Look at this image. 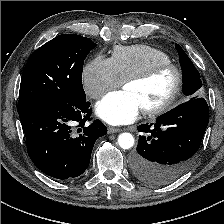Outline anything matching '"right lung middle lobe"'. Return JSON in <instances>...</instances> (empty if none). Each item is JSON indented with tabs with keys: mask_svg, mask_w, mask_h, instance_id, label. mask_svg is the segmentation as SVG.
Segmentation results:
<instances>
[{
	"mask_svg": "<svg viewBox=\"0 0 224 224\" xmlns=\"http://www.w3.org/2000/svg\"><path fill=\"white\" fill-rule=\"evenodd\" d=\"M95 46L89 38L62 34L38 48L23 70L18 113L48 101L73 104L86 100L83 63Z\"/></svg>",
	"mask_w": 224,
	"mask_h": 224,
	"instance_id": "right-lung-middle-lobe-1",
	"label": "right lung middle lobe"
}]
</instances>
